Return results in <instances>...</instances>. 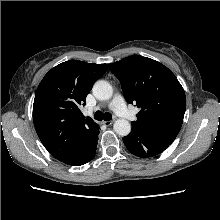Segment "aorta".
Segmentation results:
<instances>
[{
  "instance_id": "aorta-1",
  "label": "aorta",
  "mask_w": 220,
  "mask_h": 220,
  "mask_svg": "<svg viewBox=\"0 0 220 220\" xmlns=\"http://www.w3.org/2000/svg\"><path fill=\"white\" fill-rule=\"evenodd\" d=\"M93 95L98 100H109L113 95L111 84L105 80L97 81L93 86ZM114 131L120 136H127L131 131V124L126 119H117L113 125Z\"/></svg>"
}]
</instances>
